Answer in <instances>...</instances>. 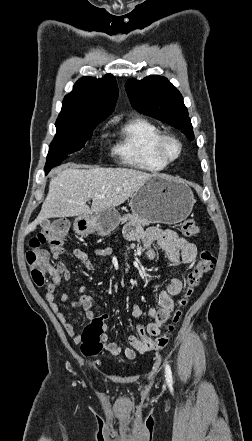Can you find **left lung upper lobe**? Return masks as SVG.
Masks as SVG:
<instances>
[{
	"mask_svg": "<svg viewBox=\"0 0 252 441\" xmlns=\"http://www.w3.org/2000/svg\"><path fill=\"white\" fill-rule=\"evenodd\" d=\"M125 88L133 108L181 129L189 139H193V128L183 97L165 77L151 75L140 81L130 79Z\"/></svg>",
	"mask_w": 252,
	"mask_h": 441,
	"instance_id": "5c2ea615",
	"label": "left lung upper lobe"
}]
</instances>
